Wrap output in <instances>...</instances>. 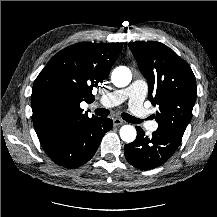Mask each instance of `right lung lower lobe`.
Listing matches in <instances>:
<instances>
[{
	"instance_id": "1",
	"label": "right lung lower lobe",
	"mask_w": 217,
	"mask_h": 217,
	"mask_svg": "<svg viewBox=\"0 0 217 217\" xmlns=\"http://www.w3.org/2000/svg\"><path fill=\"white\" fill-rule=\"evenodd\" d=\"M113 126L109 118H90L75 128L39 139L50 159L66 168H77L95 154L104 134Z\"/></svg>"
}]
</instances>
